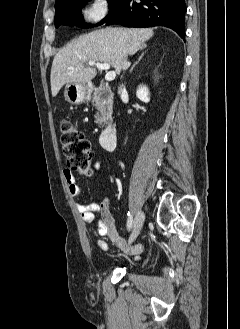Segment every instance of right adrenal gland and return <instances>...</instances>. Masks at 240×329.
I'll return each mask as SVG.
<instances>
[{
  "label": "right adrenal gland",
  "instance_id": "2a0ac1e0",
  "mask_svg": "<svg viewBox=\"0 0 240 329\" xmlns=\"http://www.w3.org/2000/svg\"><path fill=\"white\" fill-rule=\"evenodd\" d=\"M144 48H146V45H144V46L141 48V50L144 49ZM143 55H144V52H143V53L141 54V56L139 57L138 61H137L132 67H131V69H130V73L133 71L134 67L140 62V60L142 59Z\"/></svg>",
  "mask_w": 240,
  "mask_h": 329
}]
</instances>
